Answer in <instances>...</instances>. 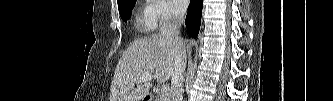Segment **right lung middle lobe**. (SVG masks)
<instances>
[{
  "instance_id": "right-lung-middle-lobe-1",
  "label": "right lung middle lobe",
  "mask_w": 333,
  "mask_h": 101,
  "mask_svg": "<svg viewBox=\"0 0 333 101\" xmlns=\"http://www.w3.org/2000/svg\"><path fill=\"white\" fill-rule=\"evenodd\" d=\"M135 3L136 0H123L118 4L120 16L125 22L130 18Z\"/></svg>"
}]
</instances>
